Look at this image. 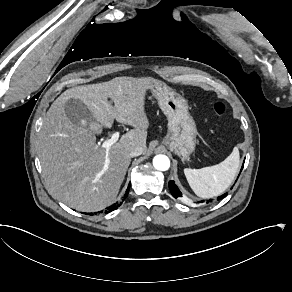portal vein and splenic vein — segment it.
<instances>
[{
    "label": "portal vein and splenic vein",
    "mask_w": 292,
    "mask_h": 292,
    "mask_svg": "<svg viewBox=\"0 0 292 292\" xmlns=\"http://www.w3.org/2000/svg\"><path fill=\"white\" fill-rule=\"evenodd\" d=\"M119 139V132H115L112 134V137L108 140H105L102 144V147L105 148L106 150V161H105V164H104V167L102 169L101 172H99L97 175H96V179L95 180H98L102 174L108 169V154H109V150H110V147L116 143Z\"/></svg>",
    "instance_id": "1"
}]
</instances>
